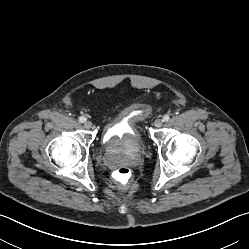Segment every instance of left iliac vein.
<instances>
[{
    "label": "left iliac vein",
    "mask_w": 249,
    "mask_h": 249,
    "mask_svg": "<svg viewBox=\"0 0 249 249\" xmlns=\"http://www.w3.org/2000/svg\"><path fill=\"white\" fill-rule=\"evenodd\" d=\"M162 124H163V121L161 119H156L154 121V126L157 127V128L161 127Z\"/></svg>",
    "instance_id": "1"
}]
</instances>
